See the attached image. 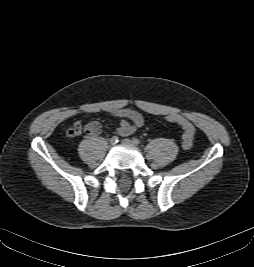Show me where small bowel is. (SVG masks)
I'll use <instances>...</instances> for the list:
<instances>
[{"instance_id":"c3829d8e","label":"small bowel","mask_w":254,"mask_h":267,"mask_svg":"<svg viewBox=\"0 0 254 267\" xmlns=\"http://www.w3.org/2000/svg\"><path fill=\"white\" fill-rule=\"evenodd\" d=\"M108 113L121 119L116 132L122 137L131 135L144 124L142 115L129 108L111 109ZM74 127L82 129L79 122H76ZM85 132L89 136H96L101 132V126L98 122H90L86 125Z\"/></svg>"}]
</instances>
